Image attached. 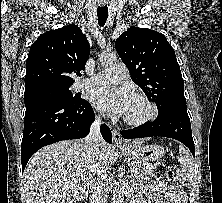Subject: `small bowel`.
<instances>
[{"mask_svg": "<svg viewBox=\"0 0 222 203\" xmlns=\"http://www.w3.org/2000/svg\"><path fill=\"white\" fill-rule=\"evenodd\" d=\"M145 193L150 203H186L185 195L181 190L171 188L164 183L149 184L145 188Z\"/></svg>", "mask_w": 222, "mask_h": 203, "instance_id": "small-bowel-1", "label": "small bowel"}]
</instances>
